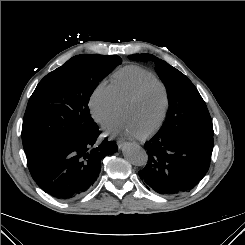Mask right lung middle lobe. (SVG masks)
I'll list each match as a JSON object with an SVG mask.
<instances>
[{
    "label": "right lung middle lobe",
    "instance_id": "1",
    "mask_svg": "<svg viewBox=\"0 0 245 245\" xmlns=\"http://www.w3.org/2000/svg\"><path fill=\"white\" fill-rule=\"evenodd\" d=\"M122 60L81 54L46 75L29 99L22 126L26 155L66 138L82 137L97 124L88 103L99 82Z\"/></svg>",
    "mask_w": 245,
    "mask_h": 245
}]
</instances>
